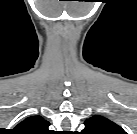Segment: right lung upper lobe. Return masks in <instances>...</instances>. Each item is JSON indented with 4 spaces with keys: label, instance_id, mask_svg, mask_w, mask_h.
<instances>
[{
    "label": "right lung upper lobe",
    "instance_id": "1",
    "mask_svg": "<svg viewBox=\"0 0 137 134\" xmlns=\"http://www.w3.org/2000/svg\"><path fill=\"white\" fill-rule=\"evenodd\" d=\"M49 122L41 116H30L19 123L14 131L18 134H50Z\"/></svg>",
    "mask_w": 137,
    "mask_h": 134
}]
</instances>
